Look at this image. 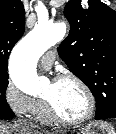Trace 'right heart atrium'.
I'll return each instance as SVG.
<instances>
[{
	"label": "right heart atrium",
	"instance_id": "1",
	"mask_svg": "<svg viewBox=\"0 0 116 134\" xmlns=\"http://www.w3.org/2000/svg\"><path fill=\"white\" fill-rule=\"evenodd\" d=\"M3 97L9 109L19 116L33 115L39 104V100L26 95L11 79L6 83Z\"/></svg>",
	"mask_w": 116,
	"mask_h": 134
}]
</instances>
